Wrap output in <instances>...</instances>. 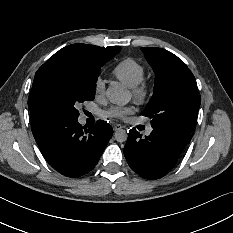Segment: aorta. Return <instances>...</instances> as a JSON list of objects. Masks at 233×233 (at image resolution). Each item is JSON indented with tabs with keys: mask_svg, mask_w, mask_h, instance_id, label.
Instances as JSON below:
<instances>
[{
	"mask_svg": "<svg viewBox=\"0 0 233 233\" xmlns=\"http://www.w3.org/2000/svg\"><path fill=\"white\" fill-rule=\"evenodd\" d=\"M106 97L113 104L125 106L131 99V93L122 84L113 82L106 90ZM114 137L118 142H124L128 134L124 129H120L114 133Z\"/></svg>",
	"mask_w": 233,
	"mask_h": 233,
	"instance_id": "obj_1",
	"label": "aorta"
}]
</instances>
